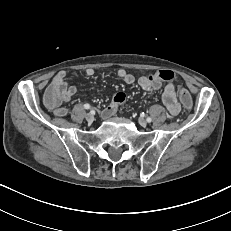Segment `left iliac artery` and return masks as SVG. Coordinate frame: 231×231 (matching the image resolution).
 I'll return each instance as SVG.
<instances>
[{"label":"left iliac artery","instance_id":"44dca946","mask_svg":"<svg viewBox=\"0 0 231 231\" xmlns=\"http://www.w3.org/2000/svg\"><path fill=\"white\" fill-rule=\"evenodd\" d=\"M146 120H147V122H149V123L152 121V119H151L150 117H148Z\"/></svg>","mask_w":231,"mask_h":231}]
</instances>
